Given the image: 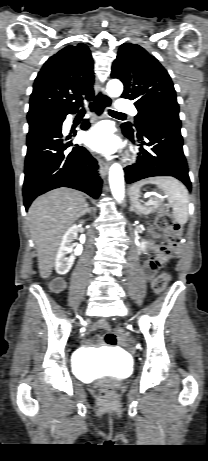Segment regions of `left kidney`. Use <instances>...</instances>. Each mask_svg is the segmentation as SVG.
Wrapping results in <instances>:
<instances>
[{"mask_svg":"<svg viewBox=\"0 0 208 461\" xmlns=\"http://www.w3.org/2000/svg\"><path fill=\"white\" fill-rule=\"evenodd\" d=\"M146 245H147L146 242H141V243L139 244V247H140V249H141L142 251H145V250H146Z\"/></svg>","mask_w":208,"mask_h":461,"instance_id":"obj_1","label":"left kidney"}]
</instances>
